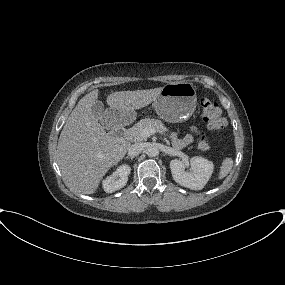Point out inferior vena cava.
Masks as SVG:
<instances>
[{"label":"inferior vena cava","mask_w":285,"mask_h":285,"mask_svg":"<svg viewBox=\"0 0 285 285\" xmlns=\"http://www.w3.org/2000/svg\"><path fill=\"white\" fill-rule=\"evenodd\" d=\"M144 146L141 143H135L132 144L129 148H128V156L130 157H135L138 156L139 154H141V152L143 151Z\"/></svg>","instance_id":"inferior-vena-cava-1"}]
</instances>
